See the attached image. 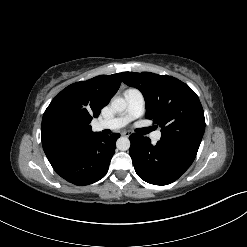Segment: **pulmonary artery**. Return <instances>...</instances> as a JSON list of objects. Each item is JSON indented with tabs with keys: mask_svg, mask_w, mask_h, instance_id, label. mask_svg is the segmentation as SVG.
Masks as SVG:
<instances>
[{
	"mask_svg": "<svg viewBox=\"0 0 247 247\" xmlns=\"http://www.w3.org/2000/svg\"><path fill=\"white\" fill-rule=\"evenodd\" d=\"M127 107L126 110L119 116L100 121L96 124L97 130L103 129H119L127 125L133 119L141 116L144 112L145 101L141 91L135 88L127 89L124 93ZM161 138V132L156 131L152 134V139L158 141Z\"/></svg>",
	"mask_w": 247,
	"mask_h": 247,
	"instance_id": "obj_1",
	"label": "pulmonary artery"
}]
</instances>
